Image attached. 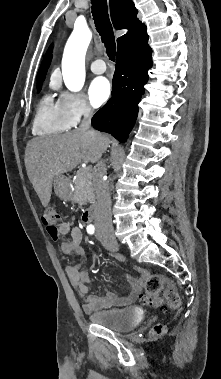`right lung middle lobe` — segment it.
<instances>
[{
	"mask_svg": "<svg viewBox=\"0 0 221 379\" xmlns=\"http://www.w3.org/2000/svg\"><path fill=\"white\" fill-rule=\"evenodd\" d=\"M40 88H41V86H37V91H38V92L40 91Z\"/></svg>",
	"mask_w": 221,
	"mask_h": 379,
	"instance_id": "1",
	"label": "right lung middle lobe"
}]
</instances>
